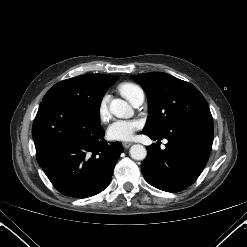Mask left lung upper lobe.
Segmentation results:
<instances>
[{
    "label": "left lung upper lobe",
    "instance_id": "left-lung-upper-lobe-1",
    "mask_svg": "<svg viewBox=\"0 0 247 247\" xmlns=\"http://www.w3.org/2000/svg\"><path fill=\"white\" fill-rule=\"evenodd\" d=\"M132 77L144 89L152 109L143 133L162 136L190 120L212 117L204 96L192 84L159 72Z\"/></svg>",
    "mask_w": 247,
    "mask_h": 247
}]
</instances>
